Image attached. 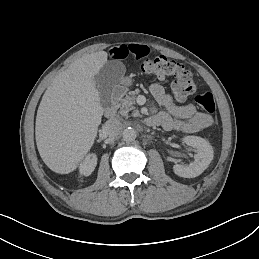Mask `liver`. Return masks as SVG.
I'll use <instances>...</instances> for the list:
<instances>
[{
	"mask_svg": "<svg viewBox=\"0 0 259 259\" xmlns=\"http://www.w3.org/2000/svg\"><path fill=\"white\" fill-rule=\"evenodd\" d=\"M107 57L105 51L84 54L54 77L42 97L36 144L44 163L56 173L75 170L94 143L103 115L94 77Z\"/></svg>",
	"mask_w": 259,
	"mask_h": 259,
	"instance_id": "liver-1",
	"label": "liver"
}]
</instances>
